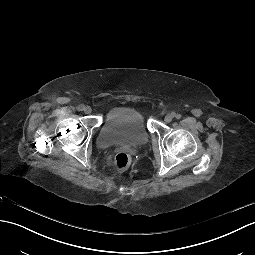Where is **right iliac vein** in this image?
Listing matches in <instances>:
<instances>
[{"mask_svg": "<svg viewBox=\"0 0 255 255\" xmlns=\"http://www.w3.org/2000/svg\"><path fill=\"white\" fill-rule=\"evenodd\" d=\"M91 111H92V109H91V107H90V106H86V107L84 108V112H85V114H90V113H91Z\"/></svg>", "mask_w": 255, "mask_h": 255, "instance_id": "right-iliac-vein-1", "label": "right iliac vein"}]
</instances>
